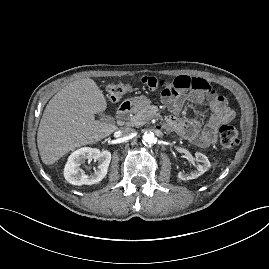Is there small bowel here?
Here are the masks:
<instances>
[{
    "label": "small bowel",
    "mask_w": 269,
    "mask_h": 269,
    "mask_svg": "<svg viewBox=\"0 0 269 269\" xmlns=\"http://www.w3.org/2000/svg\"><path fill=\"white\" fill-rule=\"evenodd\" d=\"M148 78L143 81L147 84ZM148 85L157 95L167 98V105L173 112H178L185 100L193 101L198 106L200 118L179 119L171 116L167 125L178 134L199 147H208L217 140V131L223 124L233 120L235 113L228 106L226 98L216 93L209 83L197 77L179 76L170 78L162 74L152 76ZM211 113L209 120L204 124L201 117Z\"/></svg>",
    "instance_id": "c3829d8e"
}]
</instances>
